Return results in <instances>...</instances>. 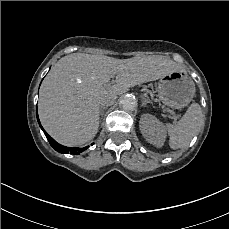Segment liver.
<instances>
[{
	"label": "liver",
	"mask_w": 229,
	"mask_h": 229,
	"mask_svg": "<svg viewBox=\"0 0 229 229\" xmlns=\"http://www.w3.org/2000/svg\"><path fill=\"white\" fill-rule=\"evenodd\" d=\"M175 71L185 70L172 60L155 56L129 59L82 53L64 56L42 82L40 121L59 143L86 144L98 133L102 101L112 104L130 88ZM115 76L116 84L111 85L109 80Z\"/></svg>",
	"instance_id": "obj_1"
}]
</instances>
